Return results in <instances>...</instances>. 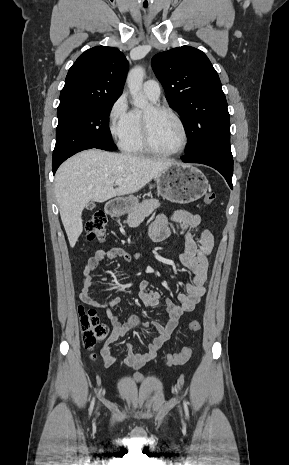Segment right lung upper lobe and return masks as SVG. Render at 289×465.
I'll return each mask as SVG.
<instances>
[{
	"label": "right lung upper lobe",
	"mask_w": 289,
	"mask_h": 465,
	"mask_svg": "<svg viewBox=\"0 0 289 465\" xmlns=\"http://www.w3.org/2000/svg\"><path fill=\"white\" fill-rule=\"evenodd\" d=\"M127 65L124 54L116 48L88 49L69 69L58 109L118 99L123 91Z\"/></svg>",
	"instance_id": "obj_1"
}]
</instances>
